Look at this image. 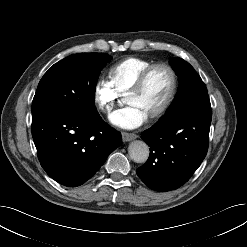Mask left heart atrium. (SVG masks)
<instances>
[{
	"mask_svg": "<svg viewBox=\"0 0 247 247\" xmlns=\"http://www.w3.org/2000/svg\"><path fill=\"white\" fill-rule=\"evenodd\" d=\"M147 115L136 106H127L114 112L110 116V122L122 129H135L147 120Z\"/></svg>",
	"mask_w": 247,
	"mask_h": 247,
	"instance_id": "1",
	"label": "left heart atrium"
}]
</instances>
